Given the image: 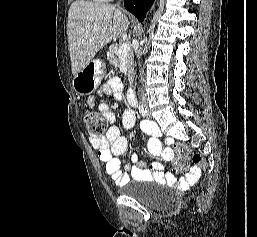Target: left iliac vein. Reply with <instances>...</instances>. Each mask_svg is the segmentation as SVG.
I'll return each mask as SVG.
<instances>
[{"instance_id": "left-iliac-vein-1", "label": "left iliac vein", "mask_w": 257, "mask_h": 237, "mask_svg": "<svg viewBox=\"0 0 257 237\" xmlns=\"http://www.w3.org/2000/svg\"><path fill=\"white\" fill-rule=\"evenodd\" d=\"M147 115H148V117H150V116H151V112H150V110H148Z\"/></svg>"}]
</instances>
